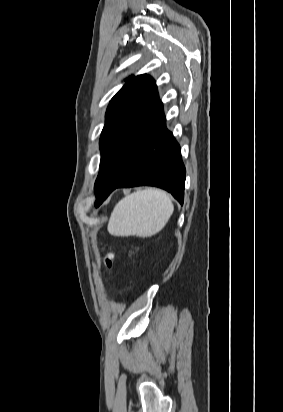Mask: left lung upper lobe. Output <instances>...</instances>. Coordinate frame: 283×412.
Here are the masks:
<instances>
[{
    "label": "left lung upper lobe",
    "mask_w": 283,
    "mask_h": 412,
    "mask_svg": "<svg viewBox=\"0 0 283 412\" xmlns=\"http://www.w3.org/2000/svg\"><path fill=\"white\" fill-rule=\"evenodd\" d=\"M165 118L154 80L132 77L112 98L100 138L101 152L131 160L134 169L147 151L156 126ZM96 197L99 181L94 186Z\"/></svg>",
    "instance_id": "5c2ea615"
}]
</instances>
